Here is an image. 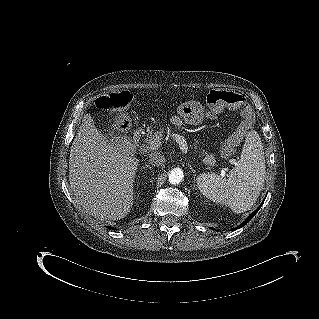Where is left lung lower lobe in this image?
Wrapping results in <instances>:
<instances>
[{
	"label": "left lung lower lobe",
	"instance_id": "0a47b994",
	"mask_svg": "<svg viewBox=\"0 0 319 319\" xmlns=\"http://www.w3.org/2000/svg\"><path fill=\"white\" fill-rule=\"evenodd\" d=\"M259 208L255 212H253L241 225H239L235 229H239V228L243 227L244 225H246L254 217V215L258 212Z\"/></svg>",
	"mask_w": 319,
	"mask_h": 319
}]
</instances>
